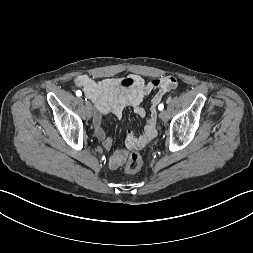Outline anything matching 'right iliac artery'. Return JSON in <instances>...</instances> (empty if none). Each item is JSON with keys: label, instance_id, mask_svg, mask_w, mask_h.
<instances>
[{"label": "right iliac artery", "instance_id": "1", "mask_svg": "<svg viewBox=\"0 0 253 253\" xmlns=\"http://www.w3.org/2000/svg\"><path fill=\"white\" fill-rule=\"evenodd\" d=\"M76 95H77V96H81V95H82V92H81L80 90H77V91H76ZM85 100H86V99H85Z\"/></svg>", "mask_w": 253, "mask_h": 253}]
</instances>
